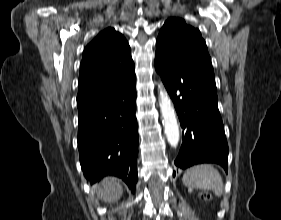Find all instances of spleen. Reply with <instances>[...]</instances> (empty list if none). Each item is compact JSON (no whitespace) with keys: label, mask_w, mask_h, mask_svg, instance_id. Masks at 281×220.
Masks as SVG:
<instances>
[{"label":"spleen","mask_w":281,"mask_h":220,"mask_svg":"<svg viewBox=\"0 0 281 220\" xmlns=\"http://www.w3.org/2000/svg\"><path fill=\"white\" fill-rule=\"evenodd\" d=\"M182 182L189 188L211 190L217 196L224 192L222 177L210 164L195 165L189 168L182 177Z\"/></svg>","instance_id":"spleen-1"}]
</instances>
